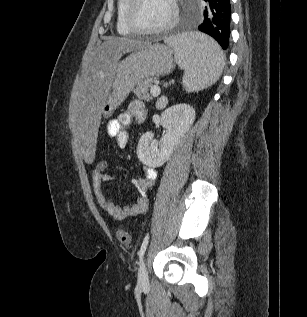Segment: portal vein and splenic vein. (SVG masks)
Listing matches in <instances>:
<instances>
[{"instance_id":"portal-vein-and-splenic-vein-1","label":"portal vein and splenic vein","mask_w":307,"mask_h":317,"mask_svg":"<svg viewBox=\"0 0 307 317\" xmlns=\"http://www.w3.org/2000/svg\"><path fill=\"white\" fill-rule=\"evenodd\" d=\"M161 89L158 85H154L150 88V93L153 97H157L160 95Z\"/></svg>"}]
</instances>
